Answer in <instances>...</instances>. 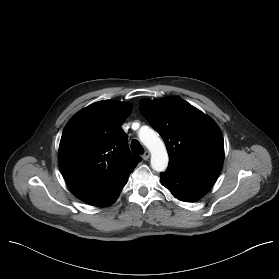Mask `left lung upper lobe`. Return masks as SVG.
Returning <instances> with one entry per match:
<instances>
[{
	"instance_id": "1",
	"label": "left lung upper lobe",
	"mask_w": 279,
	"mask_h": 279,
	"mask_svg": "<svg viewBox=\"0 0 279 279\" xmlns=\"http://www.w3.org/2000/svg\"><path fill=\"white\" fill-rule=\"evenodd\" d=\"M140 111L161 135L170 168L218 177L224 160V141L218 125L203 112L178 97L143 99Z\"/></svg>"
}]
</instances>
